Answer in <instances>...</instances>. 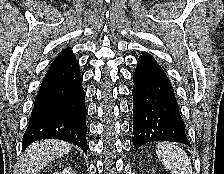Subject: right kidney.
I'll return each instance as SVG.
<instances>
[{
  "mask_svg": "<svg viewBox=\"0 0 224 174\" xmlns=\"http://www.w3.org/2000/svg\"><path fill=\"white\" fill-rule=\"evenodd\" d=\"M54 174H72V173H71V168L70 167H66V168L63 169L62 172H60V173L56 172Z\"/></svg>",
  "mask_w": 224,
  "mask_h": 174,
  "instance_id": "1",
  "label": "right kidney"
}]
</instances>
